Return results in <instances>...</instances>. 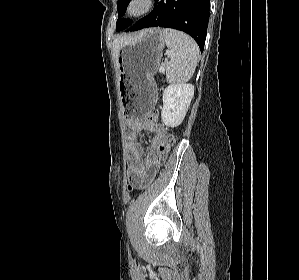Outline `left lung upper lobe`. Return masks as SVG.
Wrapping results in <instances>:
<instances>
[{
    "label": "left lung upper lobe",
    "mask_w": 299,
    "mask_h": 280,
    "mask_svg": "<svg viewBox=\"0 0 299 280\" xmlns=\"http://www.w3.org/2000/svg\"><path fill=\"white\" fill-rule=\"evenodd\" d=\"M131 0H118V16L121 17L125 14L127 5ZM132 21L129 19H118L116 23V31L123 30L129 27Z\"/></svg>",
    "instance_id": "1"
}]
</instances>
